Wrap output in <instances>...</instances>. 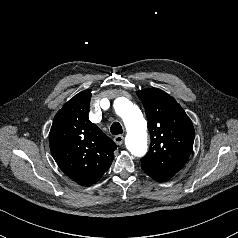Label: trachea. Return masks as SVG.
Wrapping results in <instances>:
<instances>
[{"label": "trachea", "instance_id": "3493384b", "mask_svg": "<svg viewBox=\"0 0 238 238\" xmlns=\"http://www.w3.org/2000/svg\"><path fill=\"white\" fill-rule=\"evenodd\" d=\"M110 131L113 135H119L123 133L122 126L118 122H114L111 125Z\"/></svg>", "mask_w": 238, "mask_h": 238}]
</instances>
